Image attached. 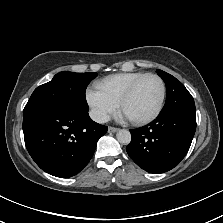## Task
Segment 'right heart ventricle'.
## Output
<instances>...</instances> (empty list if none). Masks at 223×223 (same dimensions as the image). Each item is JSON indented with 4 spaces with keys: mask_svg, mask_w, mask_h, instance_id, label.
I'll use <instances>...</instances> for the list:
<instances>
[{
    "mask_svg": "<svg viewBox=\"0 0 223 223\" xmlns=\"http://www.w3.org/2000/svg\"><path fill=\"white\" fill-rule=\"evenodd\" d=\"M144 75L146 73L143 72H122L113 74L96 83L100 84L111 97L119 101L125 92Z\"/></svg>",
    "mask_w": 223,
    "mask_h": 223,
    "instance_id": "e07e8e85",
    "label": "right heart ventricle"
}]
</instances>
